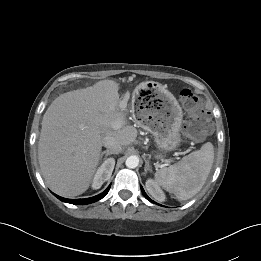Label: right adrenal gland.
<instances>
[{"instance_id": "1", "label": "right adrenal gland", "mask_w": 261, "mask_h": 261, "mask_svg": "<svg viewBox=\"0 0 261 261\" xmlns=\"http://www.w3.org/2000/svg\"><path fill=\"white\" fill-rule=\"evenodd\" d=\"M112 154H116V153H114L113 151H110V150H105V151H103L102 153H101V155H100V159H102V157L105 155V158L104 159H106L109 155H112Z\"/></svg>"}]
</instances>
